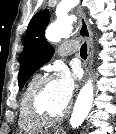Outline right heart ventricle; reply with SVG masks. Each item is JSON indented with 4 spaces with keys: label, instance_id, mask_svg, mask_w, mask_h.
Instances as JSON below:
<instances>
[{
    "label": "right heart ventricle",
    "instance_id": "right-heart-ventricle-1",
    "mask_svg": "<svg viewBox=\"0 0 116 134\" xmlns=\"http://www.w3.org/2000/svg\"><path fill=\"white\" fill-rule=\"evenodd\" d=\"M40 74L33 75L27 82L19 102V115H18V125L21 131L27 133H35L43 129L46 125V122L37 120L29 112L27 106V99L30 91L36 85V83L41 79Z\"/></svg>",
    "mask_w": 116,
    "mask_h": 134
}]
</instances>
